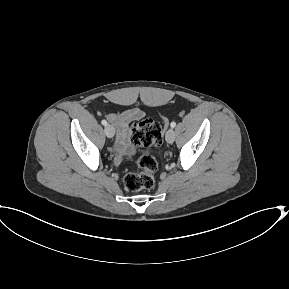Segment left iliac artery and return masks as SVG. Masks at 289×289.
I'll return each instance as SVG.
<instances>
[{
  "instance_id": "1",
  "label": "left iliac artery",
  "mask_w": 289,
  "mask_h": 289,
  "mask_svg": "<svg viewBox=\"0 0 289 289\" xmlns=\"http://www.w3.org/2000/svg\"><path fill=\"white\" fill-rule=\"evenodd\" d=\"M170 126L172 127V128H174L175 126H176V122H171V124H170Z\"/></svg>"
}]
</instances>
